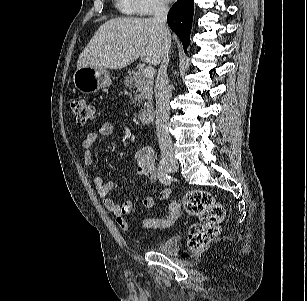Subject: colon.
<instances>
[{"label": "colon", "instance_id": "5ec220e1", "mask_svg": "<svg viewBox=\"0 0 307 301\" xmlns=\"http://www.w3.org/2000/svg\"><path fill=\"white\" fill-rule=\"evenodd\" d=\"M70 108L78 125L95 120L98 114L97 106L81 97L74 98ZM181 207L189 215L200 219L199 223L191 225L188 230L189 247L193 250L203 249L218 236V225L224 218L222 205L208 191L196 189L185 193L179 200L170 203L167 217L146 218L142 226L165 228L174 222Z\"/></svg>", "mask_w": 307, "mask_h": 301}]
</instances>
